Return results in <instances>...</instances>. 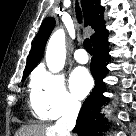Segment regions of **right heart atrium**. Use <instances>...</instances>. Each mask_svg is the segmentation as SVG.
Wrapping results in <instances>:
<instances>
[{"label": "right heart atrium", "instance_id": "right-heart-atrium-1", "mask_svg": "<svg viewBox=\"0 0 136 136\" xmlns=\"http://www.w3.org/2000/svg\"><path fill=\"white\" fill-rule=\"evenodd\" d=\"M30 102L33 113L43 119L73 114L80 106L69 93L65 78L46 71H38L33 76Z\"/></svg>", "mask_w": 136, "mask_h": 136}]
</instances>
